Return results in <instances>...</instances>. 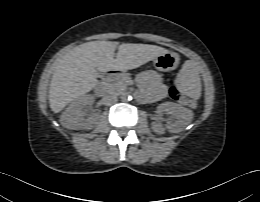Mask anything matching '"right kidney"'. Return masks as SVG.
I'll return each mask as SVG.
<instances>
[{"label": "right kidney", "mask_w": 260, "mask_h": 202, "mask_svg": "<svg viewBox=\"0 0 260 202\" xmlns=\"http://www.w3.org/2000/svg\"><path fill=\"white\" fill-rule=\"evenodd\" d=\"M94 102V96L87 94L79 97L62 113L60 117L61 124L72 130L94 128L99 120V114H87L82 109ZM87 116V118H85Z\"/></svg>", "instance_id": "1"}]
</instances>
